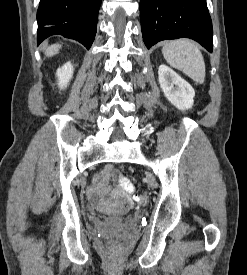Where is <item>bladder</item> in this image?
<instances>
[{
	"mask_svg": "<svg viewBox=\"0 0 247 275\" xmlns=\"http://www.w3.org/2000/svg\"><path fill=\"white\" fill-rule=\"evenodd\" d=\"M108 219L109 221L114 223H121L124 222L127 219V217L121 215H111Z\"/></svg>",
	"mask_w": 247,
	"mask_h": 275,
	"instance_id": "obj_1",
	"label": "bladder"
}]
</instances>
